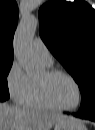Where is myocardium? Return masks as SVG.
Segmentation results:
<instances>
[{"label": "myocardium", "instance_id": "f54148a6", "mask_svg": "<svg viewBox=\"0 0 95 130\" xmlns=\"http://www.w3.org/2000/svg\"><path fill=\"white\" fill-rule=\"evenodd\" d=\"M58 75H63L65 77H67L68 79H70L74 85L77 88L78 91V102L74 107H63L58 105L56 102H54V100L51 98L49 90H48V85L47 82L44 81H38V86H39V90H40V94L43 98V100L50 105L52 108L57 109V110H61V111H75L77 110L82 102H83V91L82 88L79 84V82L68 72L61 70V69H48L46 71V77L48 80L58 76Z\"/></svg>", "mask_w": 95, "mask_h": 130}]
</instances>
